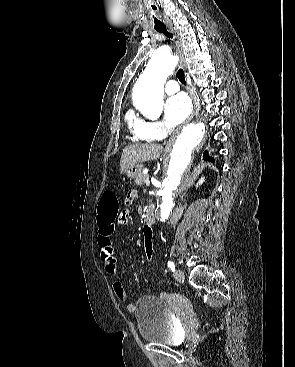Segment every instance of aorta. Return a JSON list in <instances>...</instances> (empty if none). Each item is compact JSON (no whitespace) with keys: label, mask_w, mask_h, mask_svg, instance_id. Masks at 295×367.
<instances>
[{"label":"aorta","mask_w":295,"mask_h":367,"mask_svg":"<svg viewBox=\"0 0 295 367\" xmlns=\"http://www.w3.org/2000/svg\"><path fill=\"white\" fill-rule=\"evenodd\" d=\"M177 62L175 55L166 52L158 51L151 57L133 89V102L144 116L158 118L161 115L164 83L174 71ZM204 134V123H191L176 138L159 193L158 209L162 221H166L172 213L175 193L184 180L192 151L201 142Z\"/></svg>","instance_id":"762f6f07"}]
</instances>
